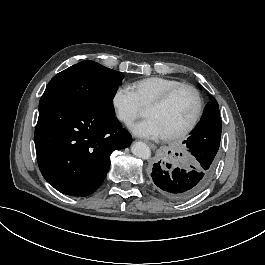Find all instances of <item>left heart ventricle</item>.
<instances>
[{
    "mask_svg": "<svg viewBox=\"0 0 265 265\" xmlns=\"http://www.w3.org/2000/svg\"><path fill=\"white\" fill-rule=\"evenodd\" d=\"M196 111V101L193 94L183 91L177 94L166 106L160 109H147V118L155 119L165 136L185 128L192 120Z\"/></svg>",
    "mask_w": 265,
    "mask_h": 265,
    "instance_id": "1",
    "label": "left heart ventricle"
}]
</instances>
